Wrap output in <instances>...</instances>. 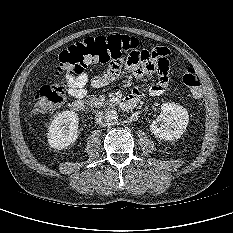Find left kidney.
Listing matches in <instances>:
<instances>
[{"instance_id": "obj_1", "label": "left kidney", "mask_w": 233, "mask_h": 233, "mask_svg": "<svg viewBox=\"0 0 233 233\" xmlns=\"http://www.w3.org/2000/svg\"><path fill=\"white\" fill-rule=\"evenodd\" d=\"M161 109L163 114L150 125L151 132L160 139H179L189 122L187 110L181 105L168 102L162 104Z\"/></svg>"}]
</instances>
